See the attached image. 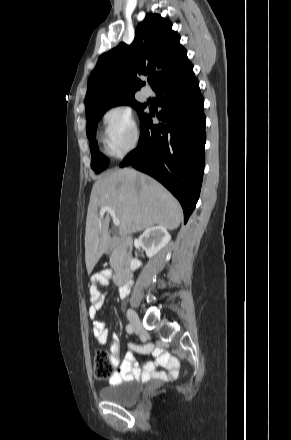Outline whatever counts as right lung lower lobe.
Wrapping results in <instances>:
<instances>
[{
	"instance_id": "1",
	"label": "right lung lower lobe",
	"mask_w": 291,
	"mask_h": 440,
	"mask_svg": "<svg viewBox=\"0 0 291 440\" xmlns=\"http://www.w3.org/2000/svg\"><path fill=\"white\" fill-rule=\"evenodd\" d=\"M162 121L141 118L138 147L121 167L132 165L161 182L179 200L186 223L199 198L205 146L204 100L193 66L162 82L155 90ZM154 115V113H152Z\"/></svg>"
}]
</instances>
